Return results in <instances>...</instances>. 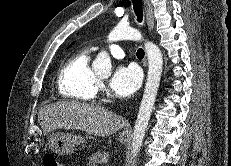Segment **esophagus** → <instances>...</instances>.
<instances>
[{"mask_svg": "<svg viewBox=\"0 0 231 166\" xmlns=\"http://www.w3.org/2000/svg\"><path fill=\"white\" fill-rule=\"evenodd\" d=\"M143 2L145 6L147 25H148L149 31L152 32L154 28V16H153L152 5H151L150 0H143Z\"/></svg>", "mask_w": 231, "mask_h": 166, "instance_id": "obj_1", "label": "esophagus"}]
</instances>
